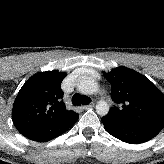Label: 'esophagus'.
<instances>
[{
    "mask_svg": "<svg viewBox=\"0 0 164 164\" xmlns=\"http://www.w3.org/2000/svg\"><path fill=\"white\" fill-rule=\"evenodd\" d=\"M94 105H95V103H94V102H91L89 105L83 106V108H84V109H90V108H93Z\"/></svg>",
    "mask_w": 164,
    "mask_h": 164,
    "instance_id": "obj_1",
    "label": "esophagus"
}]
</instances>
